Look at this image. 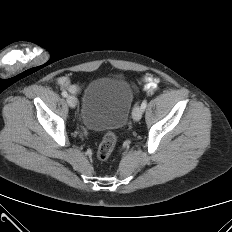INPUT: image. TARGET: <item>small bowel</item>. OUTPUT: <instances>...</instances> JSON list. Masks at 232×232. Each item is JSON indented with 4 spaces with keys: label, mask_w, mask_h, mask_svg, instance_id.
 Returning <instances> with one entry per match:
<instances>
[{
    "label": "small bowel",
    "mask_w": 232,
    "mask_h": 232,
    "mask_svg": "<svg viewBox=\"0 0 232 232\" xmlns=\"http://www.w3.org/2000/svg\"><path fill=\"white\" fill-rule=\"evenodd\" d=\"M60 86L67 88L73 93H78L80 91V86L70 82L68 78L61 77L58 80ZM158 79L155 77H146L144 80V90L148 93H153L158 88Z\"/></svg>",
    "instance_id": "1"
}]
</instances>
